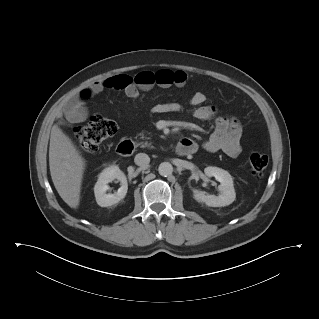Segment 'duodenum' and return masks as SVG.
Masks as SVG:
<instances>
[{
  "mask_svg": "<svg viewBox=\"0 0 319 319\" xmlns=\"http://www.w3.org/2000/svg\"><path fill=\"white\" fill-rule=\"evenodd\" d=\"M196 149V143L188 138L182 139L177 147L176 152L180 156L191 155ZM134 150V143L131 140H123L117 146V152L120 155H129Z\"/></svg>",
  "mask_w": 319,
  "mask_h": 319,
  "instance_id": "obj_1",
  "label": "duodenum"
}]
</instances>
